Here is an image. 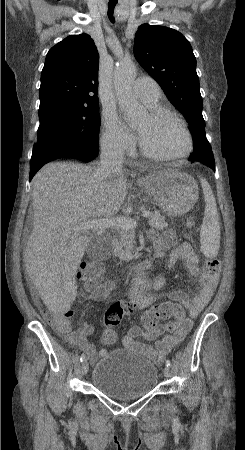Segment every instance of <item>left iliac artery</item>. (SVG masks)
<instances>
[{
    "mask_svg": "<svg viewBox=\"0 0 245 450\" xmlns=\"http://www.w3.org/2000/svg\"><path fill=\"white\" fill-rule=\"evenodd\" d=\"M165 364H166V366H167L168 368L171 367V362H170L169 360H166Z\"/></svg>",
    "mask_w": 245,
    "mask_h": 450,
    "instance_id": "left-iliac-artery-1",
    "label": "left iliac artery"
}]
</instances>
